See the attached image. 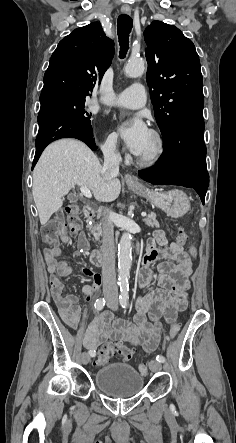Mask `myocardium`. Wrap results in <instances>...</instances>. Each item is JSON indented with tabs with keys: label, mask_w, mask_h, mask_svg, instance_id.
I'll return each instance as SVG.
<instances>
[{
	"label": "myocardium",
	"mask_w": 236,
	"mask_h": 443,
	"mask_svg": "<svg viewBox=\"0 0 236 443\" xmlns=\"http://www.w3.org/2000/svg\"><path fill=\"white\" fill-rule=\"evenodd\" d=\"M150 133L155 141L154 150L147 155H137L138 163L145 167H151L158 164L162 160L166 152L165 140L162 134L155 129H151Z\"/></svg>",
	"instance_id": "1"
}]
</instances>
